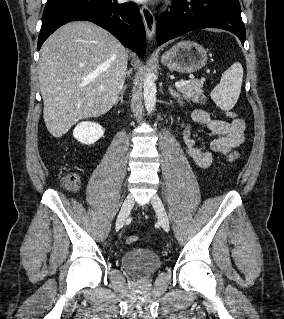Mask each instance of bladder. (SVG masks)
I'll return each instance as SVG.
<instances>
[{
    "label": "bladder",
    "instance_id": "obj_1",
    "mask_svg": "<svg viewBox=\"0 0 284 319\" xmlns=\"http://www.w3.org/2000/svg\"><path fill=\"white\" fill-rule=\"evenodd\" d=\"M120 261L124 270L138 279L152 276L160 269L162 264L159 255L146 248L126 251L121 255Z\"/></svg>",
    "mask_w": 284,
    "mask_h": 319
}]
</instances>
